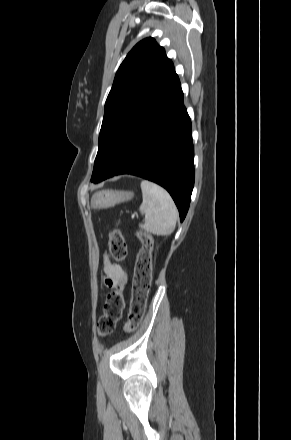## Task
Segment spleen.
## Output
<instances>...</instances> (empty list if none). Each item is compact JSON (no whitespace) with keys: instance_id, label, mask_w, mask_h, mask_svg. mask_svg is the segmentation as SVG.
<instances>
[{"instance_id":"obj_1","label":"spleen","mask_w":291,"mask_h":440,"mask_svg":"<svg viewBox=\"0 0 291 440\" xmlns=\"http://www.w3.org/2000/svg\"><path fill=\"white\" fill-rule=\"evenodd\" d=\"M143 201L140 211L145 214L142 229L157 236L170 235L176 226L178 211L169 193L159 185L141 182Z\"/></svg>"}]
</instances>
